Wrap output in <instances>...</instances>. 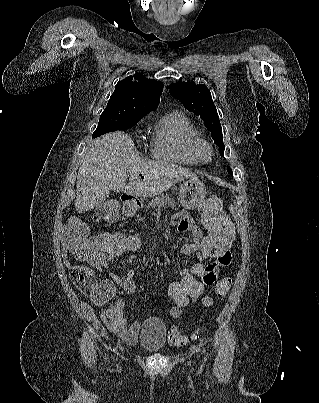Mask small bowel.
Instances as JSON below:
<instances>
[{
  "instance_id": "1",
  "label": "small bowel",
  "mask_w": 319,
  "mask_h": 403,
  "mask_svg": "<svg viewBox=\"0 0 319 403\" xmlns=\"http://www.w3.org/2000/svg\"><path fill=\"white\" fill-rule=\"evenodd\" d=\"M171 224L176 226L180 232H188L191 235L192 241L181 246L180 253L183 255H194V258H198L200 243L203 242V235L201 229L195 224L190 215L186 213H177L171 218ZM140 241V239H139ZM141 244V241H140ZM141 246V245H140ZM70 250L64 248L63 256L65 266L70 270H80V271H91V269L102 272L107 269L109 262L113 258H100L87 259L85 262L89 266L85 265H75L71 263L67 258L70 255ZM232 256V251L230 249H225L219 254V259L211 267H207V271L202 274V283L204 286H211L216 281L219 271H222L224 267L230 262V257ZM195 264V260H194ZM190 269H183L181 275H189ZM135 270L131 268L125 276H117L115 274H109L106 279H97L96 285H92V291H90V300H99V306L110 305L111 300L116 299L117 286L121 288L125 293L132 295L136 291V285L134 283L133 277ZM115 285H111V282ZM180 282V281H177ZM171 292L167 291L166 295L171 302ZM192 303L200 302L204 306H211L213 304L212 298L209 296H198L197 300H190ZM125 301L122 298L116 299L113 305L106 307L101 312V318L105 325L109 329L110 335L118 336L123 342L127 344H134L138 340V336L142 331V327L138 323L128 324V320L125 316ZM183 309L180 313H172L170 309L171 316L177 318L181 315Z\"/></svg>"
}]
</instances>
